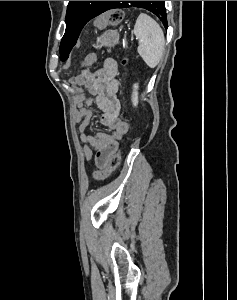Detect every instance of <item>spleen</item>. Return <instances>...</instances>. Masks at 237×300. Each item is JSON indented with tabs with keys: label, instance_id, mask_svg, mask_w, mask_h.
I'll list each match as a JSON object with an SVG mask.
<instances>
[{
	"label": "spleen",
	"instance_id": "spleen-1",
	"mask_svg": "<svg viewBox=\"0 0 237 300\" xmlns=\"http://www.w3.org/2000/svg\"><path fill=\"white\" fill-rule=\"evenodd\" d=\"M133 33L139 41L137 49L140 57L150 69H155L160 63L165 47L164 33L149 15L141 13L133 29Z\"/></svg>",
	"mask_w": 237,
	"mask_h": 300
}]
</instances>
